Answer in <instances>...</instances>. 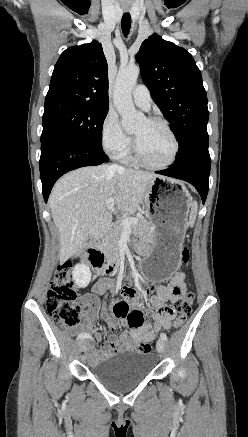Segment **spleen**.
<instances>
[{
  "mask_svg": "<svg viewBox=\"0 0 248 437\" xmlns=\"http://www.w3.org/2000/svg\"><path fill=\"white\" fill-rule=\"evenodd\" d=\"M197 211H198V204L196 201H194L191 205V212H190V217H189V226L190 227L194 226L196 216H197Z\"/></svg>",
  "mask_w": 248,
  "mask_h": 437,
  "instance_id": "1",
  "label": "spleen"
}]
</instances>
